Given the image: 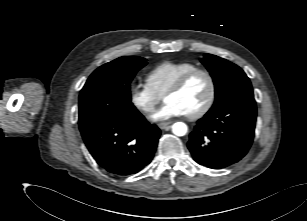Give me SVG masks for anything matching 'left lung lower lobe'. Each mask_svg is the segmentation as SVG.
Instances as JSON below:
<instances>
[{
	"label": "left lung lower lobe",
	"instance_id": "1",
	"mask_svg": "<svg viewBox=\"0 0 307 221\" xmlns=\"http://www.w3.org/2000/svg\"><path fill=\"white\" fill-rule=\"evenodd\" d=\"M256 115L254 98H239L210 109L197 121L187 143L194 160L212 169L241 160L252 144Z\"/></svg>",
	"mask_w": 307,
	"mask_h": 221
}]
</instances>
